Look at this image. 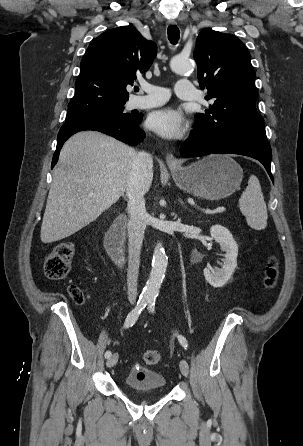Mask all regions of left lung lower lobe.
I'll return each instance as SVG.
<instances>
[{
  "mask_svg": "<svg viewBox=\"0 0 303 446\" xmlns=\"http://www.w3.org/2000/svg\"><path fill=\"white\" fill-rule=\"evenodd\" d=\"M183 158L200 157L215 153L239 154L260 161L273 181L271 173V147L268 141L235 137L227 133L213 134L195 129L180 149Z\"/></svg>",
  "mask_w": 303,
  "mask_h": 446,
  "instance_id": "obj_1",
  "label": "left lung lower lobe"
}]
</instances>
